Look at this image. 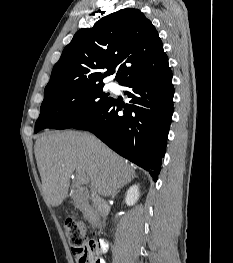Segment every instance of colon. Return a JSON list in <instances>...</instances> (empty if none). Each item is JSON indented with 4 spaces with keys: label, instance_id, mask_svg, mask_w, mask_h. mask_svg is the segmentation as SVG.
I'll return each instance as SVG.
<instances>
[{
    "label": "colon",
    "instance_id": "5ec220e1",
    "mask_svg": "<svg viewBox=\"0 0 233 263\" xmlns=\"http://www.w3.org/2000/svg\"><path fill=\"white\" fill-rule=\"evenodd\" d=\"M64 228L71 251L78 263H99L100 243L88 236L84 223L70 219L65 222Z\"/></svg>",
    "mask_w": 233,
    "mask_h": 263
}]
</instances>
